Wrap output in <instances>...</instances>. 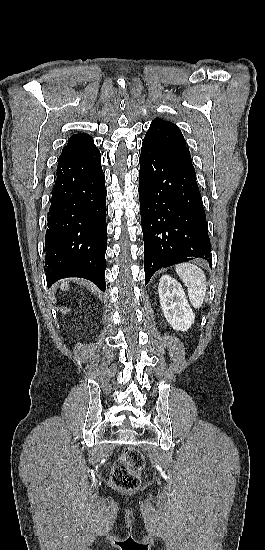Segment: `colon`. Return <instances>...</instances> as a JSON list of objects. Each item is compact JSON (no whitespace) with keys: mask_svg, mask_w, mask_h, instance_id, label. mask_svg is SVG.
<instances>
[{"mask_svg":"<svg viewBox=\"0 0 265 550\" xmlns=\"http://www.w3.org/2000/svg\"><path fill=\"white\" fill-rule=\"evenodd\" d=\"M145 467L143 454L134 447L126 448L114 462L111 483L122 490L135 489L140 484V476Z\"/></svg>","mask_w":265,"mask_h":550,"instance_id":"obj_1","label":"colon"}]
</instances>
